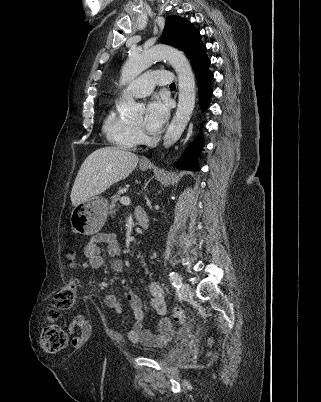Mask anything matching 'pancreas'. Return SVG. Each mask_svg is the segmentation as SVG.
I'll return each mask as SVG.
<instances>
[{
  "label": "pancreas",
  "mask_w": 321,
  "mask_h": 402,
  "mask_svg": "<svg viewBox=\"0 0 321 402\" xmlns=\"http://www.w3.org/2000/svg\"><path fill=\"white\" fill-rule=\"evenodd\" d=\"M119 200V196L118 195H114L113 197H112V200H111V203H110V205H109V209H110V211H109V214L110 215H115L116 214V211H117V205H116V203H117V201Z\"/></svg>",
  "instance_id": "1"
}]
</instances>
